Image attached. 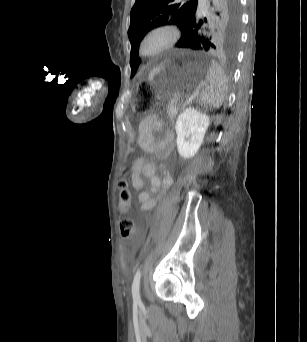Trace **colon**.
Masks as SVG:
<instances>
[{"mask_svg":"<svg viewBox=\"0 0 307 342\" xmlns=\"http://www.w3.org/2000/svg\"><path fill=\"white\" fill-rule=\"evenodd\" d=\"M138 88L140 94H151V83L150 82H139ZM154 102L150 100L148 97H141V100L135 104V110L137 113L149 112L154 107ZM128 174L127 171H125ZM119 196L121 201L123 202V210L129 211L132 207H134L130 202L131 191L128 187V183L125 180H121L119 182ZM119 228L121 232V236L124 239H131L136 231L135 223L131 218H123L119 221Z\"/></svg>","mask_w":307,"mask_h":342,"instance_id":"5ec220e1","label":"colon"}]
</instances>
